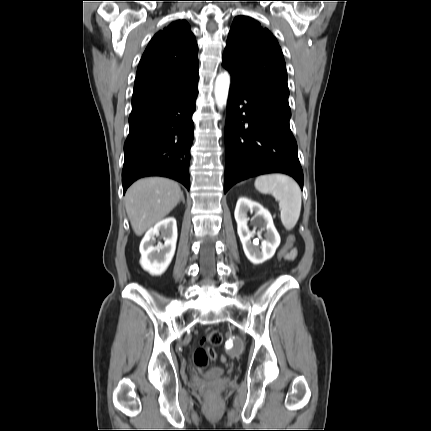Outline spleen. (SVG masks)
<instances>
[{"label":"spleen","instance_id":"obj_1","mask_svg":"<svg viewBox=\"0 0 431 431\" xmlns=\"http://www.w3.org/2000/svg\"><path fill=\"white\" fill-rule=\"evenodd\" d=\"M255 188L263 194H271L279 202L280 217L286 230H292L300 216L301 190L290 177L281 174L261 175L255 180Z\"/></svg>","mask_w":431,"mask_h":431}]
</instances>
